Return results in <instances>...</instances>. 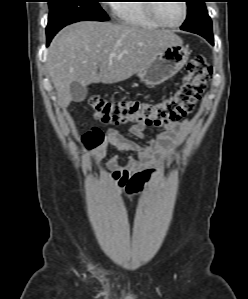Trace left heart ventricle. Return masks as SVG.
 Listing matches in <instances>:
<instances>
[{
	"instance_id": "b2bd125f",
	"label": "left heart ventricle",
	"mask_w": 248,
	"mask_h": 299,
	"mask_svg": "<svg viewBox=\"0 0 248 299\" xmlns=\"http://www.w3.org/2000/svg\"><path fill=\"white\" fill-rule=\"evenodd\" d=\"M157 11L161 18L169 24L178 23L183 16L182 3L179 0L160 3Z\"/></svg>"
}]
</instances>
